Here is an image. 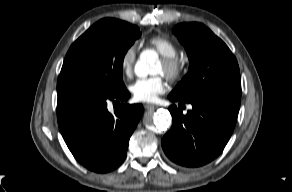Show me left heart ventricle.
Listing matches in <instances>:
<instances>
[{
    "label": "left heart ventricle",
    "mask_w": 292,
    "mask_h": 192,
    "mask_svg": "<svg viewBox=\"0 0 292 192\" xmlns=\"http://www.w3.org/2000/svg\"><path fill=\"white\" fill-rule=\"evenodd\" d=\"M163 71H164V68H163V64H162V62L156 67V69H155V73H163Z\"/></svg>",
    "instance_id": "1"
}]
</instances>
